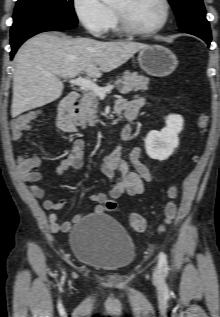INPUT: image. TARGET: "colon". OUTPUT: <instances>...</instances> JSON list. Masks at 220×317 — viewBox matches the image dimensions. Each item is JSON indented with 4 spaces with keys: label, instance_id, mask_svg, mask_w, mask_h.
I'll return each mask as SVG.
<instances>
[{
    "label": "colon",
    "instance_id": "obj_1",
    "mask_svg": "<svg viewBox=\"0 0 220 317\" xmlns=\"http://www.w3.org/2000/svg\"><path fill=\"white\" fill-rule=\"evenodd\" d=\"M35 119L34 113H25L16 117L11 124L12 131L15 137H19L23 132L28 130ZM201 125L204 127L205 118L202 117ZM177 196V191L175 186H170L167 190L168 200L164 206V224H171L177 219V204L175 202ZM107 210L114 211L117 208V204L113 200H108L105 204ZM129 223L131 228L138 232L142 233L147 228V221L141 215L132 213L129 216Z\"/></svg>",
    "mask_w": 220,
    "mask_h": 317
}]
</instances>
